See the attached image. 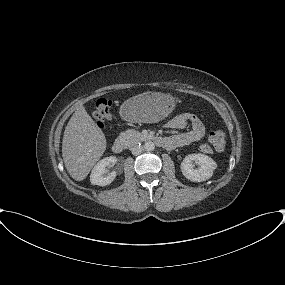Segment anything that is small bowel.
I'll use <instances>...</instances> for the list:
<instances>
[{"instance_id": "small-bowel-1", "label": "small bowel", "mask_w": 285, "mask_h": 285, "mask_svg": "<svg viewBox=\"0 0 285 285\" xmlns=\"http://www.w3.org/2000/svg\"><path fill=\"white\" fill-rule=\"evenodd\" d=\"M188 125L191 126V130L166 138L168 140V148H180L203 140L206 131L205 126L194 113L184 112L177 114L167 122L166 127L183 130Z\"/></svg>"}]
</instances>
